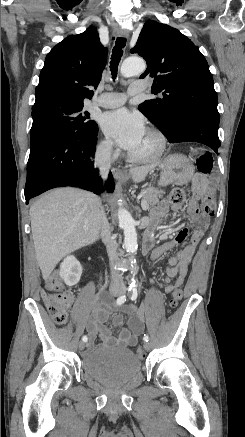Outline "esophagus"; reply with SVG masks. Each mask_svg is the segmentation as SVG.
Here are the masks:
<instances>
[{
  "label": "esophagus",
  "instance_id": "obj_1",
  "mask_svg": "<svg viewBox=\"0 0 245 437\" xmlns=\"http://www.w3.org/2000/svg\"><path fill=\"white\" fill-rule=\"evenodd\" d=\"M115 34H116L118 37H121V38H126V39H128V37H129V33H128V31L125 30V29H122V28L117 29V30L115 31ZM112 173H113V175H114V177H115L116 179H120V178H122V177L124 176L123 172H122L121 170L117 169V168H113V169H112Z\"/></svg>",
  "mask_w": 245,
  "mask_h": 437
}]
</instances>
